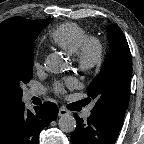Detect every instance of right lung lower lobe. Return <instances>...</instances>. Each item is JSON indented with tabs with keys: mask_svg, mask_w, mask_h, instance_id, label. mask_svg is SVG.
<instances>
[{
	"mask_svg": "<svg viewBox=\"0 0 144 144\" xmlns=\"http://www.w3.org/2000/svg\"><path fill=\"white\" fill-rule=\"evenodd\" d=\"M32 113L21 103L15 113L0 127V144H38L39 133L56 119L58 108L52 102L35 107Z\"/></svg>",
	"mask_w": 144,
	"mask_h": 144,
	"instance_id": "1",
	"label": "right lung lower lobe"
}]
</instances>
